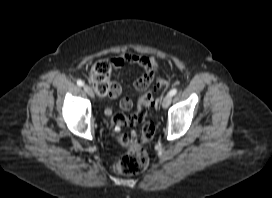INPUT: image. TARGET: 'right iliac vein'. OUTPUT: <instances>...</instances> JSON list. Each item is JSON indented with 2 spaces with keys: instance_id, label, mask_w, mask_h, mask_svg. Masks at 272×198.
I'll return each mask as SVG.
<instances>
[{
  "instance_id": "right-iliac-vein-1",
  "label": "right iliac vein",
  "mask_w": 272,
  "mask_h": 198,
  "mask_svg": "<svg viewBox=\"0 0 272 198\" xmlns=\"http://www.w3.org/2000/svg\"><path fill=\"white\" fill-rule=\"evenodd\" d=\"M83 89L90 97H94V92L88 85H84Z\"/></svg>"
}]
</instances>
